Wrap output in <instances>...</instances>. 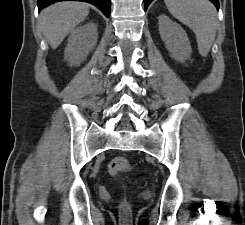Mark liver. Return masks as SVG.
Returning <instances> with one entry per match:
<instances>
[{
  "mask_svg": "<svg viewBox=\"0 0 245 225\" xmlns=\"http://www.w3.org/2000/svg\"><path fill=\"white\" fill-rule=\"evenodd\" d=\"M89 14V5L83 2H59L45 8L39 24L52 49H56L74 28Z\"/></svg>",
  "mask_w": 245,
  "mask_h": 225,
  "instance_id": "6515ba94",
  "label": "liver"
}]
</instances>
